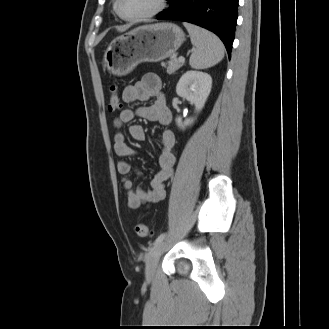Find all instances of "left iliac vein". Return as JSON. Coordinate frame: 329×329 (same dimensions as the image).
Here are the masks:
<instances>
[{
  "label": "left iliac vein",
  "instance_id": "4c4485c4",
  "mask_svg": "<svg viewBox=\"0 0 329 329\" xmlns=\"http://www.w3.org/2000/svg\"><path fill=\"white\" fill-rule=\"evenodd\" d=\"M164 247V242H160L159 244H157L156 246H154V248L151 250L148 260L146 262V269H145V275H146V279L148 281H150L156 272V267L159 261V257L161 255V252L163 250Z\"/></svg>",
  "mask_w": 329,
  "mask_h": 329
}]
</instances>
